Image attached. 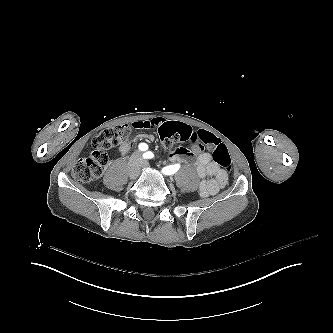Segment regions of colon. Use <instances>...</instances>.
Masks as SVG:
<instances>
[{"label": "colon", "instance_id": "5ec220e1", "mask_svg": "<svg viewBox=\"0 0 333 333\" xmlns=\"http://www.w3.org/2000/svg\"><path fill=\"white\" fill-rule=\"evenodd\" d=\"M130 129L127 125H117L103 130L91 142V152L77 161L72 168V175L77 182L89 183L100 177L102 170L108 162L106 150L115 146H126L130 143ZM159 137L168 142L179 140L182 143L191 142L193 147L203 151L199 144L212 146V157L216 164L225 172L232 168L231 156L227 146L216 139L212 133H202L198 128L189 124L177 125L175 121H165L158 131Z\"/></svg>", "mask_w": 333, "mask_h": 333}]
</instances>
